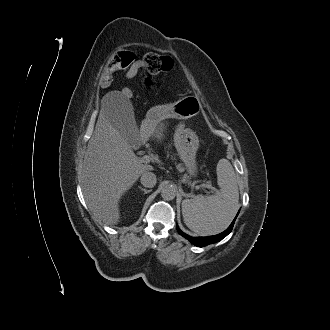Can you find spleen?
<instances>
[{
    "label": "spleen",
    "instance_id": "3e777b00",
    "mask_svg": "<svg viewBox=\"0 0 330 330\" xmlns=\"http://www.w3.org/2000/svg\"><path fill=\"white\" fill-rule=\"evenodd\" d=\"M217 183L220 189L213 195H198L182 202V215L186 226L202 235L222 232L232 222L239 209L237 175L227 159L217 164Z\"/></svg>",
    "mask_w": 330,
    "mask_h": 330
}]
</instances>
